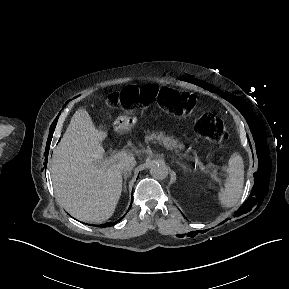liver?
<instances>
[{
    "mask_svg": "<svg viewBox=\"0 0 289 289\" xmlns=\"http://www.w3.org/2000/svg\"><path fill=\"white\" fill-rule=\"evenodd\" d=\"M106 135L85 109H78L53 152L52 180L58 202L83 222L102 223L113 215L122 191L118 165L133 157L104 164L101 142Z\"/></svg>",
    "mask_w": 289,
    "mask_h": 289,
    "instance_id": "1",
    "label": "liver"
}]
</instances>
